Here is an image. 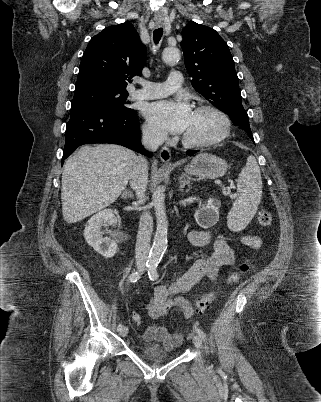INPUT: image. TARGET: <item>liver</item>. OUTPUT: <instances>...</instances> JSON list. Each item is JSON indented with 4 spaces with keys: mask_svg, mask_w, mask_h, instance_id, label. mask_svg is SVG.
Instances as JSON below:
<instances>
[{
    "mask_svg": "<svg viewBox=\"0 0 321 402\" xmlns=\"http://www.w3.org/2000/svg\"><path fill=\"white\" fill-rule=\"evenodd\" d=\"M138 156L115 144L85 145L64 164L62 214L76 223L112 204L126 188Z\"/></svg>",
    "mask_w": 321,
    "mask_h": 402,
    "instance_id": "obj_1",
    "label": "liver"
}]
</instances>
